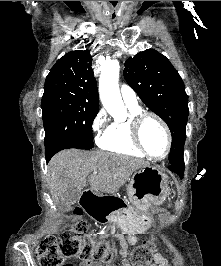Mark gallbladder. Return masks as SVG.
Returning a JSON list of instances; mask_svg holds the SVG:
<instances>
[{
	"instance_id": "gallbladder-1",
	"label": "gallbladder",
	"mask_w": 221,
	"mask_h": 266,
	"mask_svg": "<svg viewBox=\"0 0 221 266\" xmlns=\"http://www.w3.org/2000/svg\"><path fill=\"white\" fill-rule=\"evenodd\" d=\"M82 193V189L76 187H69L61 197L63 205H72L78 201Z\"/></svg>"
}]
</instances>
